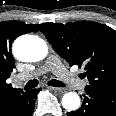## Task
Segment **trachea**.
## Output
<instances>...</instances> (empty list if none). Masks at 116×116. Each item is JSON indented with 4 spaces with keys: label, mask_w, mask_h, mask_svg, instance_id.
Masks as SVG:
<instances>
[{
    "label": "trachea",
    "mask_w": 116,
    "mask_h": 116,
    "mask_svg": "<svg viewBox=\"0 0 116 116\" xmlns=\"http://www.w3.org/2000/svg\"><path fill=\"white\" fill-rule=\"evenodd\" d=\"M38 83L39 82L37 79L28 81L25 85V90H29V89L37 87ZM48 85L53 86V87H65L66 86L63 82L59 80H55V79L48 81Z\"/></svg>",
    "instance_id": "3493384b"
}]
</instances>
